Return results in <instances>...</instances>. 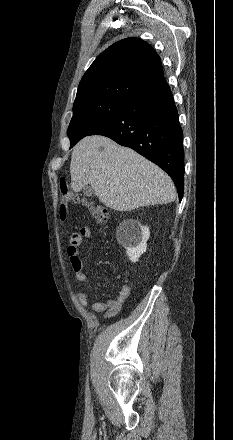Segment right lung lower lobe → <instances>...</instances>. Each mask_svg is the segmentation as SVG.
<instances>
[{
    "label": "right lung lower lobe",
    "mask_w": 233,
    "mask_h": 440,
    "mask_svg": "<svg viewBox=\"0 0 233 440\" xmlns=\"http://www.w3.org/2000/svg\"><path fill=\"white\" fill-rule=\"evenodd\" d=\"M96 134L134 149L161 167L173 179L182 199L183 131L167 83L130 99L114 117L89 135Z\"/></svg>",
    "instance_id": "right-lung-lower-lobe-1"
}]
</instances>
